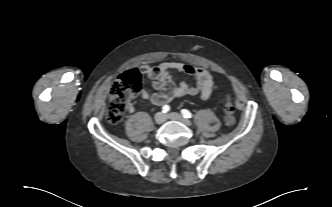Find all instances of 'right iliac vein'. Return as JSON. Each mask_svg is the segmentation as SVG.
I'll use <instances>...</instances> for the list:
<instances>
[{"mask_svg":"<svg viewBox=\"0 0 332 207\" xmlns=\"http://www.w3.org/2000/svg\"><path fill=\"white\" fill-rule=\"evenodd\" d=\"M155 122L156 124H163L166 121V116L162 112H158L155 114Z\"/></svg>","mask_w":332,"mask_h":207,"instance_id":"right-iliac-vein-1","label":"right iliac vein"}]
</instances>
